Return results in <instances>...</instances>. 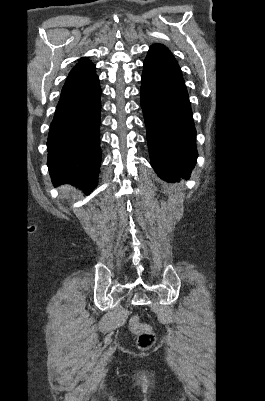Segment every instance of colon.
<instances>
[{"label":"colon","mask_w":265,"mask_h":401,"mask_svg":"<svg viewBox=\"0 0 265 401\" xmlns=\"http://www.w3.org/2000/svg\"><path fill=\"white\" fill-rule=\"evenodd\" d=\"M130 329L137 335V345L142 350L150 349L155 342V334L152 328L143 323L138 316L130 320Z\"/></svg>","instance_id":"obj_1"}]
</instances>
